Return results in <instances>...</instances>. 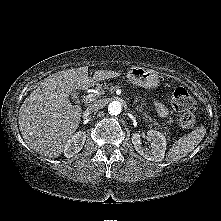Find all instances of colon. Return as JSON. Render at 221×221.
I'll return each mask as SVG.
<instances>
[{
    "label": "colon",
    "instance_id": "obj_1",
    "mask_svg": "<svg viewBox=\"0 0 221 221\" xmlns=\"http://www.w3.org/2000/svg\"><path fill=\"white\" fill-rule=\"evenodd\" d=\"M173 103L175 108L183 113L180 118L181 127L184 129L193 128L196 124V119L193 114L196 103L192 96L185 88L179 87L174 91Z\"/></svg>",
    "mask_w": 221,
    "mask_h": 221
}]
</instances>
